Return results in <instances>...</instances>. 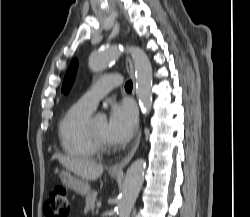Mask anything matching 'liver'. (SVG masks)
I'll return each instance as SVG.
<instances>
[{"label":"liver","mask_w":250,"mask_h":217,"mask_svg":"<svg viewBox=\"0 0 250 217\" xmlns=\"http://www.w3.org/2000/svg\"><path fill=\"white\" fill-rule=\"evenodd\" d=\"M51 160H58L67 170L87 181L97 180L103 173V166L91 160L71 158L61 154H54Z\"/></svg>","instance_id":"6515ba94"}]
</instances>
